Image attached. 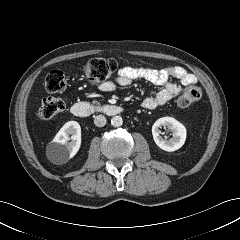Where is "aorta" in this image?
<instances>
[{"label":"aorta","mask_w":240,"mask_h":240,"mask_svg":"<svg viewBox=\"0 0 240 240\" xmlns=\"http://www.w3.org/2000/svg\"><path fill=\"white\" fill-rule=\"evenodd\" d=\"M123 124V119L120 116H114L111 119V125L114 127H120Z\"/></svg>","instance_id":"aorta-1"}]
</instances>
